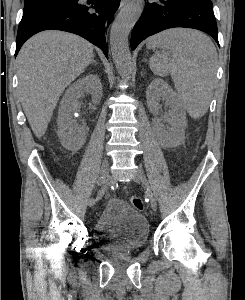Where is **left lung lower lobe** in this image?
<instances>
[{"instance_id":"1","label":"left lung lower lobe","mask_w":245,"mask_h":300,"mask_svg":"<svg viewBox=\"0 0 245 300\" xmlns=\"http://www.w3.org/2000/svg\"><path fill=\"white\" fill-rule=\"evenodd\" d=\"M174 27L201 30L219 44L211 0H157L147 2L145 12L136 22L131 36V48L134 50L145 38Z\"/></svg>"}]
</instances>
